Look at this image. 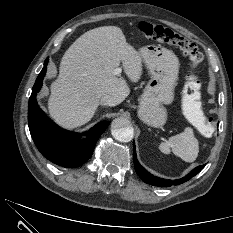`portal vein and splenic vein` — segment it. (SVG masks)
Instances as JSON below:
<instances>
[{
	"mask_svg": "<svg viewBox=\"0 0 233 233\" xmlns=\"http://www.w3.org/2000/svg\"><path fill=\"white\" fill-rule=\"evenodd\" d=\"M122 72V69L121 68H116L113 70V75H119L120 73Z\"/></svg>",
	"mask_w": 233,
	"mask_h": 233,
	"instance_id": "obj_1",
	"label": "portal vein and splenic vein"
}]
</instances>
